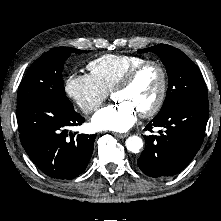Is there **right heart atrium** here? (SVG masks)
Returning a JSON list of instances; mask_svg holds the SVG:
<instances>
[{
    "label": "right heart atrium",
    "instance_id": "1",
    "mask_svg": "<svg viewBox=\"0 0 221 221\" xmlns=\"http://www.w3.org/2000/svg\"><path fill=\"white\" fill-rule=\"evenodd\" d=\"M65 92L85 114L97 110L109 94L91 74L79 73H72L67 77Z\"/></svg>",
    "mask_w": 221,
    "mask_h": 221
}]
</instances>
